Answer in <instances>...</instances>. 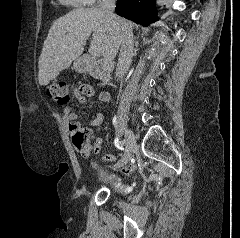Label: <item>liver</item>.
Here are the masks:
<instances>
[{"mask_svg": "<svg viewBox=\"0 0 240 238\" xmlns=\"http://www.w3.org/2000/svg\"><path fill=\"white\" fill-rule=\"evenodd\" d=\"M126 25L131 23L125 21ZM92 34L90 49L112 61L121 45V31L97 8H78L54 21L44 41L38 66L40 85H48L84 51Z\"/></svg>", "mask_w": 240, "mask_h": 238, "instance_id": "1", "label": "liver"}]
</instances>
